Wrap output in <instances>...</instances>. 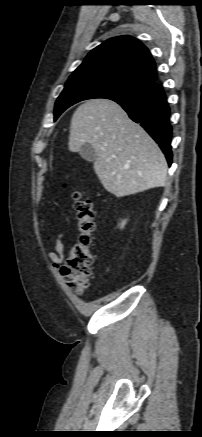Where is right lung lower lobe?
Masks as SVG:
<instances>
[{"label": "right lung lower lobe", "instance_id": "98d812e1", "mask_svg": "<svg viewBox=\"0 0 202 437\" xmlns=\"http://www.w3.org/2000/svg\"><path fill=\"white\" fill-rule=\"evenodd\" d=\"M159 144L169 166L172 163L170 108L160 84L155 83L144 93L114 99Z\"/></svg>", "mask_w": 202, "mask_h": 437}]
</instances>
